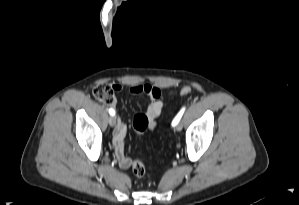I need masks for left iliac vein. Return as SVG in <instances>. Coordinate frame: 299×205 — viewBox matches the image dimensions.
Here are the masks:
<instances>
[{
  "mask_svg": "<svg viewBox=\"0 0 299 205\" xmlns=\"http://www.w3.org/2000/svg\"><path fill=\"white\" fill-rule=\"evenodd\" d=\"M181 129H182V125L181 124L176 125V130L177 131H181Z\"/></svg>",
  "mask_w": 299,
  "mask_h": 205,
  "instance_id": "obj_1",
  "label": "left iliac vein"
}]
</instances>
